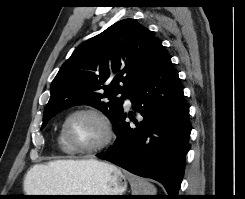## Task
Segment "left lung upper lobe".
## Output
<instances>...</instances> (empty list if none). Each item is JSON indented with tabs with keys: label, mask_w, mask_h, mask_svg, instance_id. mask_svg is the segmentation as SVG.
<instances>
[{
	"label": "left lung upper lobe",
	"mask_w": 245,
	"mask_h": 199,
	"mask_svg": "<svg viewBox=\"0 0 245 199\" xmlns=\"http://www.w3.org/2000/svg\"><path fill=\"white\" fill-rule=\"evenodd\" d=\"M158 38L133 19L116 22L81 44L62 65L51 84L43 129L62 110L90 105L113 122L123 100L148 74L163 51Z\"/></svg>",
	"instance_id": "left-lung-upper-lobe-1"
}]
</instances>
